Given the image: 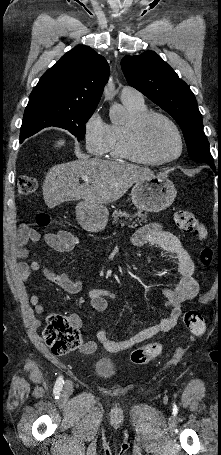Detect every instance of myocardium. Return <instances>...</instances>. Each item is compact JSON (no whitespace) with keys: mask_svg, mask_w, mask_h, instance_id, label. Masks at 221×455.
Here are the masks:
<instances>
[{"mask_svg":"<svg viewBox=\"0 0 221 455\" xmlns=\"http://www.w3.org/2000/svg\"><path fill=\"white\" fill-rule=\"evenodd\" d=\"M155 119L165 121L174 131L179 145L178 152L174 156L168 158H157L146 148L144 144L145 130ZM128 145L134 154L144 158L152 164H165L175 161L182 155L184 150L183 137L177 124L167 115L156 111H147L131 123L128 129Z\"/></svg>","mask_w":221,"mask_h":455,"instance_id":"obj_1","label":"myocardium"}]
</instances>
